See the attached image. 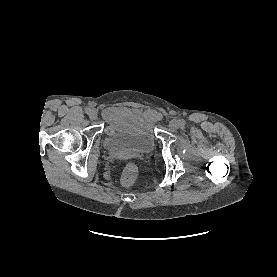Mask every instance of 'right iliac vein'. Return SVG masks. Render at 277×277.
Listing matches in <instances>:
<instances>
[{
	"instance_id": "obj_1",
	"label": "right iliac vein",
	"mask_w": 277,
	"mask_h": 277,
	"mask_svg": "<svg viewBox=\"0 0 277 277\" xmlns=\"http://www.w3.org/2000/svg\"><path fill=\"white\" fill-rule=\"evenodd\" d=\"M89 118L91 120L97 119V112L95 110H92L91 113L89 114Z\"/></svg>"
}]
</instances>
